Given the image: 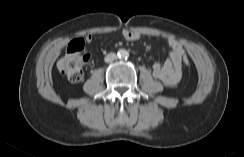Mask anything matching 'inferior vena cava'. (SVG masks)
Wrapping results in <instances>:
<instances>
[{"label": "inferior vena cava", "mask_w": 244, "mask_h": 157, "mask_svg": "<svg viewBox=\"0 0 244 157\" xmlns=\"http://www.w3.org/2000/svg\"><path fill=\"white\" fill-rule=\"evenodd\" d=\"M117 59V55L115 53H109L105 56V62H112Z\"/></svg>", "instance_id": "inferior-vena-cava-1"}]
</instances>
